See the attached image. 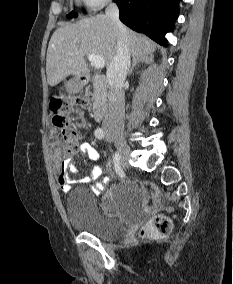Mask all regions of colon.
I'll return each instance as SVG.
<instances>
[{"label":"colon","instance_id":"obj_1","mask_svg":"<svg viewBox=\"0 0 233 284\" xmlns=\"http://www.w3.org/2000/svg\"><path fill=\"white\" fill-rule=\"evenodd\" d=\"M92 104L89 96L76 97L71 101L61 99L54 100L51 106L53 111V123L60 130L63 138V149L67 154L76 151L80 139L78 129L70 122L68 113L73 107L90 108ZM172 228L168 217L159 215L150 220L141 230V235L157 237L167 236Z\"/></svg>","mask_w":233,"mask_h":284}]
</instances>
